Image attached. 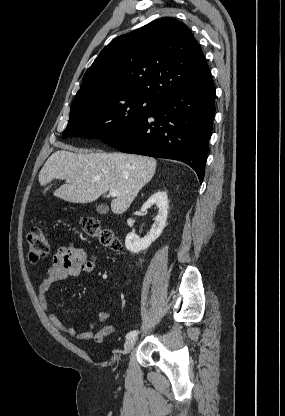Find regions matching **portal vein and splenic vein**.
<instances>
[{
    "mask_svg": "<svg viewBox=\"0 0 285 416\" xmlns=\"http://www.w3.org/2000/svg\"><path fill=\"white\" fill-rule=\"evenodd\" d=\"M109 196H112V198H116V196H119L117 190H109Z\"/></svg>",
    "mask_w": 285,
    "mask_h": 416,
    "instance_id": "obj_1",
    "label": "portal vein and splenic vein"
}]
</instances>
